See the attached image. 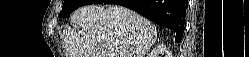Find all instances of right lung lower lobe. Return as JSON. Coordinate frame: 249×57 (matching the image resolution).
Here are the masks:
<instances>
[{"label":"right lung lower lobe","instance_id":"obj_1","mask_svg":"<svg viewBox=\"0 0 249 57\" xmlns=\"http://www.w3.org/2000/svg\"><path fill=\"white\" fill-rule=\"evenodd\" d=\"M90 4H118L132 9L158 25L174 30L176 42L184 32L186 0H92Z\"/></svg>","mask_w":249,"mask_h":57}]
</instances>
